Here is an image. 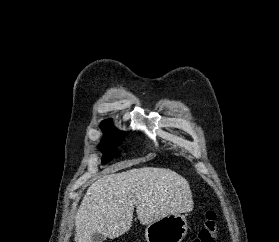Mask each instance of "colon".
<instances>
[{
    "mask_svg": "<svg viewBox=\"0 0 279 242\" xmlns=\"http://www.w3.org/2000/svg\"><path fill=\"white\" fill-rule=\"evenodd\" d=\"M191 242H216V213L208 211L204 217V226Z\"/></svg>",
    "mask_w": 279,
    "mask_h": 242,
    "instance_id": "5ec220e1",
    "label": "colon"
}]
</instances>
